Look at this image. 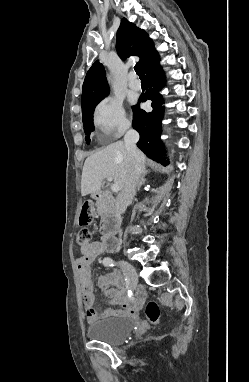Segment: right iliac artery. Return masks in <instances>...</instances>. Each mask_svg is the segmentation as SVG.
I'll use <instances>...</instances> for the list:
<instances>
[{"label":"right iliac artery","instance_id":"right-iliac-artery-1","mask_svg":"<svg viewBox=\"0 0 249 382\" xmlns=\"http://www.w3.org/2000/svg\"><path fill=\"white\" fill-rule=\"evenodd\" d=\"M103 264L105 266H109V267L115 266L114 261L111 258H109V257H106V258L103 259ZM124 275H125V273H124Z\"/></svg>","mask_w":249,"mask_h":382}]
</instances>
